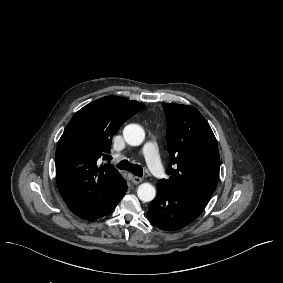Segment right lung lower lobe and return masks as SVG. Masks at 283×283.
Returning <instances> with one entry per match:
<instances>
[{
	"label": "right lung lower lobe",
	"mask_w": 283,
	"mask_h": 283,
	"mask_svg": "<svg viewBox=\"0 0 283 283\" xmlns=\"http://www.w3.org/2000/svg\"><path fill=\"white\" fill-rule=\"evenodd\" d=\"M126 190H127V185L125 183L123 188H122V192L120 193V195H118L116 198H114L106 206L102 207L101 209H99V210H97V211H95L93 213L82 215V216H79V217L82 218V219H85V220L92 221V220L101 218V217L111 213L115 209L116 205L120 202V200L125 195Z\"/></svg>",
	"instance_id": "1"
}]
</instances>
